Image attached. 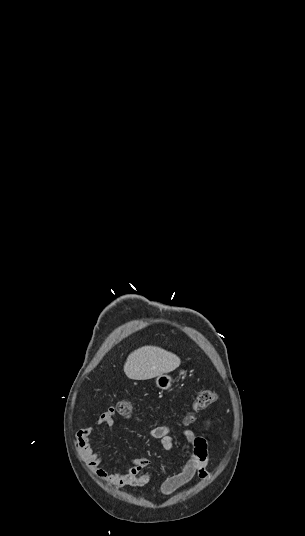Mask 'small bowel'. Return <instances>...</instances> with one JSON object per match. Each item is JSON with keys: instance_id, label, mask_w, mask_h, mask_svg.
Wrapping results in <instances>:
<instances>
[{"instance_id": "c3829d8e", "label": "small bowel", "mask_w": 305, "mask_h": 536, "mask_svg": "<svg viewBox=\"0 0 305 536\" xmlns=\"http://www.w3.org/2000/svg\"><path fill=\"white\" fill-rule=\"evenodd\" d=\"M115 414L116 411L112 407L107 408L106 411H102L100 418L106 427L111 426ZM211 424L210 419L205 421L206 433L210 431ZM85 430L87 432L80 431L78 433V444L82 457L93 477L109 484L118 487H127L135 491L143 488L149 482L150 472H144V469L150 464L149 459L133 458L130 460V467L120 471L109 472L111 465L92 446L91 439L94 437V434L90 432L92 427L87 425ZM149 436L152 439L158 440L165 450H172L175 447L174 439L167 426L163 425L152 428L149 431ZM182 436L187 442V449L184 450L187 460L177 474L167 478L162 483L161 492L166 496L173 494L195 476L200 479H206L208 477V471L206 469L208 460L207 435L201 432H194L190 429H184L182 430Z\"/></svg>"}]
</instances>
